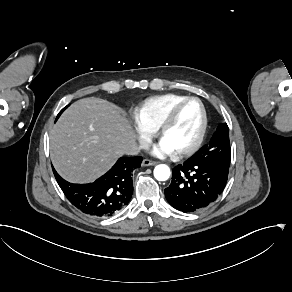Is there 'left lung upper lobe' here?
I'll use <instances>...</instances> for the list:
<instances>
[{"label":"left lung upper lobe","instance_id":"obj_1","mask_svg":"<svg viewBox=\"0 0 292 292\" xmlns=\"http://www.w3.org/2000/svg\"><path fill=\"white\" fill-rule=\"evenodd\" d=\"M194 156L204 161H224L230 163L231 149L227 124H219L210 142L196 152Z\"/></svg>","mask_w":292,"mask_h":292}]
</instances>
